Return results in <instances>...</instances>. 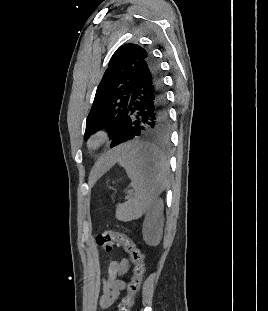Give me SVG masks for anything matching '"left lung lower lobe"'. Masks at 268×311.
I'll list each match as a JSON object with an SVG mask.
<instances>
[{"instance_id":"1","label":"left lung lower lobe","mask_w":268,"mask_h":311,"mask_svg":"<svg viewBox=\"0 0 268 311\" xmlns=\"http://www.w3.org/2000/svg\"><path fill=\"white\" fill-rule=\"evenodd\" d=\"M169 116L158 62L150 56L140 65L126 115L110 147L123 140L166 141Z\"/></svg>"}]
</instances>
